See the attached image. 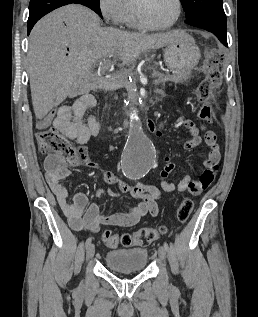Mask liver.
Listing matches in <instances>:
<instances>
[{
	"label": "liver",
	"mask_w": 258,
	"mask_h": 317,
	"mask_svg": "<svg viewBox=\"0 0 258 317\" xmlns=\"http://www.w3.org/2000/svg\"><path fill=\"white\" fill-rule=\"evenodd\" d=\"M183 30L128 32L101 26L100 16L82 4H66L33 26L27 52L32 104L36 118H44L67 96H76L91 82L93 64L109 54L134 62L141 50L161 48L181 40Z\"/></svg>",
	"instance_id": "obj_1"
}]
</instances>
